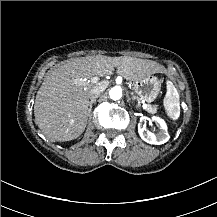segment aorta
Returning <instances> with one entry per match:
<instances>
[{
    "label": "aorta",
    "mask_w": 217,
    "mask_h": 217,
    "mask_svg": "<svg viewBox=\"0 0 217 217\" xmlns=\"http://www.w3.org/2000/svg\"><path fill=\"white\" fill-rule=\"evenodd\" d=\"M123 92L120 86H115L110 89L109 96L112 100H119L122 98Z\"/></svg>",
    "instance_id": "obj_1"
}]
</instances>
